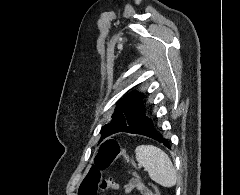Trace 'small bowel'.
<instances>
[{
  "mask_svg": "<svg viewBox=\"0 0 240 195\" xmlns=\"http://www.w3.org/2000/svg\"><path fill=\"white\" fill-rule=\"evenodd\" d=\"M124 192L126 195H130L133 192H139L140 195H150L149 187L144 186L143 182L137 177H132L127 182V184L124 186Z\"/></svg>",
  "mask_w": 240,
  "mask_h": 195,
  "instance_id": "obj_1",
  "label": "small bowel"
}]
</instances>
